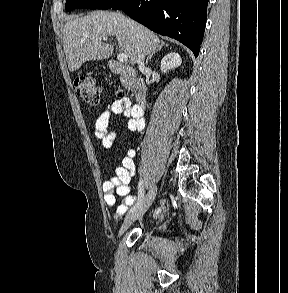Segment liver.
Returning <instances> with one entry per match:
<instances>
[{"mask_svg": "<svg viewBox=\"0 0 288 293\" xmlns=\"http://www.w3.org/2000/svg\"><path fill=\"white\" fill-rule=\"evenodd\" d=\"M111 36L132 65L138 63V49L149 56L161 47L158 36L143 25L118 12L95 11L70 18L64 25L63 43L69 70L76 71L86 61L109 58L113 45L102 40Z\"/></svg>", "mask_w": 288, "mask_h": 293, "instance_id": "1", "label": "liver"}]
</instances>
